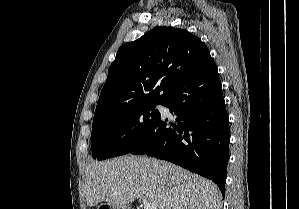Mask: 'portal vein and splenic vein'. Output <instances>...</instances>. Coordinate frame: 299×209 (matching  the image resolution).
I'll list each match as a JSON object with an SVG mask.
<instances>
[{
  "label": "portal vein and splenic vein",
  "instance_id": "1",
  "mask_svg": "<svg viewBox=\"0 0 299 209\" xmlns=\"http://www.w3.org/2000/svg\"><path fill=\"white\" fill-rule=\"evenodd\" d=\"M142 202H143L144 209H156L155 204L149 202L145 198L142 199Z\"/></svg>",
  "mask_w": 299,
  "mask_h": 209
}]
</instances>
